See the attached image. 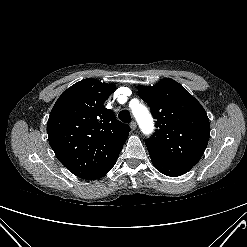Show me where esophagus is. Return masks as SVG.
I'll list each match as a JSON object with an SVG mask.
<instances>
[{
  "instance_id": "1",
  "label": "esophagus",
  "mask_w": 247,
  "mask_h": 247,
  "mask_svg": "<svg viewBox=\"0 0 247 247\" xmlns=\"http://www.w3.org/2000/svg\"><path fill=\"white\" fill-rule=\"evenodd\" d=\"M130 128H131V130H135V129L137 128V124H136L135 121H132V122L130 123Z\"/></svg>"
}]
</instances>
